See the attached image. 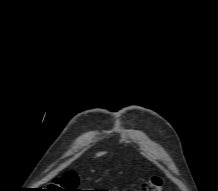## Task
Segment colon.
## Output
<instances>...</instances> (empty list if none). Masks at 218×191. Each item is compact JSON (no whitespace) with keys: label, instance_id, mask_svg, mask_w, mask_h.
<instances>
[{"label":"colon","instance_id":"1","mask_svg":"<svg viewBox=\"0 0 218 191\" xmlns=\"http://www.w3.org/2000/svg\"><path fill=\"white\" fill-rule=\"evenodd\" d=\"M61 186L62 191H81L78 187V177L73 173H66L55 180ZM164 181L159 176L151 177L139 191H162Z\"/></svg>","mask_w":218,"mask_h":191}]
</instances>
